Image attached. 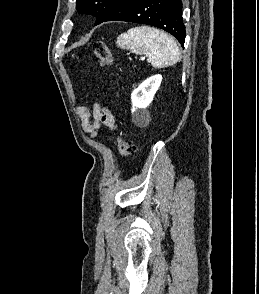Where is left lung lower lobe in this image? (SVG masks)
Returning a JSON list of instances; mask_svg holds the SVG:
<instances>
[{
  "label": "left lung lower lobe",
  "mask_w": 259,
  "mask_h": 294,
  "mask_svg": "<svg viewBox=\"0 0 259 294\" xmlns=\"http://www.w3.org/2000/svg\"><path fill=\"white\" fill-rule=\"evenodd\" d=\"M106 21H127L161 28L183 46L186 36L181 0H124L106 17Z\"/></svg>",
  "instance_id": "left-lung-lower-lobe-1"
}]
</instances>
